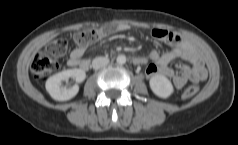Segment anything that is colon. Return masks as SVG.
Wrapping results in <instances>:
<instances>
[{
  "label": "colon",
  "instance_id": "colon-1",
  "mask_svg": "<svg viewBox=\"0 0 238 145\" xmlns=\"http://www.w3.org/2000/svg\"><path fill=\"white\" fill-rule=\"evenodd\" d=\"M109 27L98 29H85L73 35L72 41L77 47L86 48L96 42L109 32ZM68 43L65 39L59 38L53 40L38 52L34 57L31 70L35 78L39 80L47 79L59 67V59L66 53ZM198 91L196 85L188 86L184 92V98H191Z\"/></svg>",
  "mask_w": 238,
  "mask_h": 145
}]
</instances>
